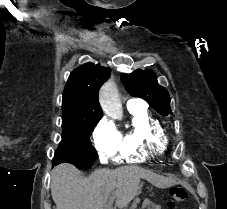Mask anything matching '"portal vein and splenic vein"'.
Here are the masks:
<instances>
[{
    "instance_id": "portal-vein-and-splenic-vein-1",
    "label": "portal vein and splenic vein",
    "mask_w": 227,
    "mask_h": 209,
    "mask_svg": "<svg viewBox=\"0 0 227 209\" xmlns=\"http://www.w3.org/2000/svg\"><path fill=\"white\" fill-rule=\"evenodd\" d=\"M148 203H149V199L147 198V199L144 200V203H143V205H142V206H143L142 208L144 209V208H145V207H144L145 204H148Z\"/></svg>"
}]
</instances>
